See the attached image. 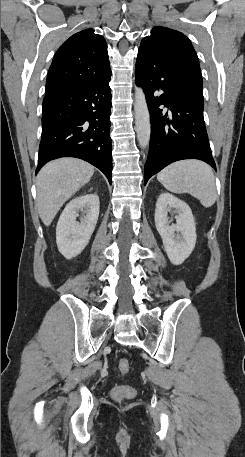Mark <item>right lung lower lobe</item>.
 <instances>
[{"mask_svg": "<svg viewBox=\"0 0 245 457\" xmlns=\"http://www.w3.org/2000/svg\"><path fill=\"white\" fill-rule=\"evenodd\" d=\"M110 76L81 80L46 94L36 173L50 160L76 157L100 169L111 184Z\"/></svg>", "mask_w": 245, "mask_h": 457, "instance_id": "1", "label": "right lung lower lobe"}]
</instances>
